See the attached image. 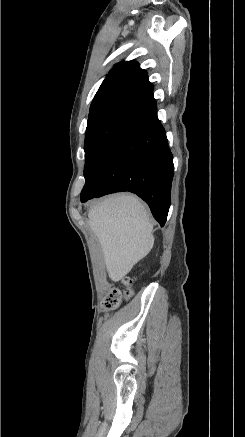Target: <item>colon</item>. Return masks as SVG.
<instances>
[{
	"label": "colon",
	"mask_w": 245,
	"mask_h": 437,
	"mask_svg": "<svg viewBox=\"0 0 245 437\" xmlns=\"http://www.w3.org/2000/svg\"><path fill=\"white\" fill-rule=\"evenodd\" d=\"M129 285H130V281L128 279H125L123 281V286H124V294L126 297H129L131 295V290L129 288ZM121 297H122V293L120 290L118 289L112 290L105 297L103 303L104 308L108 310H113L117 308L120 303Z\"/></svg>",
	"instance_id": "obj_1"
}]
</instances>
